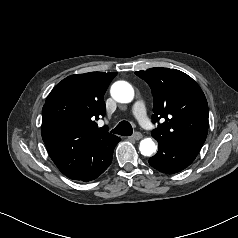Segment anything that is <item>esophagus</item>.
Returning <instances> with one entry per match:
<instances>
[{
  "instance_id": "esophagus-1",
  "label": "esophagus",
  "mask_w": 238,
  "mask_h": 238,
  "mask_svg": "<svg viewBox=\"0 0 238 238\" xmlns=\"http://www.w3.org/2000/svg\"><path fill=\"white\" fill-rule=\"evenodd\" d=\"M143 137V135L140 132H136L133 136H131L134 140H140Z\"/></svg>"
}]
</instances>
